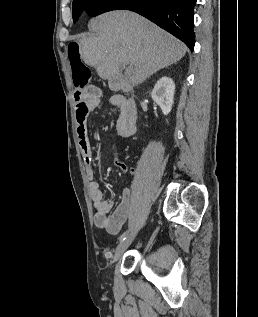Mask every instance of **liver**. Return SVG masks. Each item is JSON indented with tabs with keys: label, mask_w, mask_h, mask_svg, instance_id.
<instances>
[{
	"label": "liver",
	"mask_w": 258,
	"mask_h": 317,
	"mask_svg": "<svg viewBox=\"0 0 258 317\" xmlns=\"http://www.w3.org/2000/svg\"><path fill=\"white\" fill-rule=\"evenodd\" d=\"M93 36L79 38V52L109 84L122 80L120 64H132L129 82L140 84L148 76L180 60L187 46L131 10L104 12L88 22Z\"/></svg>",
	"instance_id": "6515ba94"
}]
</instances>
